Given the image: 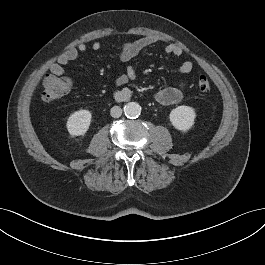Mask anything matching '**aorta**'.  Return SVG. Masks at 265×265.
Returning <instances> with one entry per match:
<instances>
[{
  "mask_svg": "<svg viewBox=\"0 0 265 265\" xmlns=\"http://www.w3.org/2000/svg\"><path fill=\"white\" fill-rule=\"evenodd\" d=\"M124 112L128 118H137L141 113V106L136 102H129L125 105Z\"/></svg>",
  "mask_w": 265,
  "mask_h": 265,
  "instance_id": "obj_1",
  "label": "aorta"
}]
</instances>
